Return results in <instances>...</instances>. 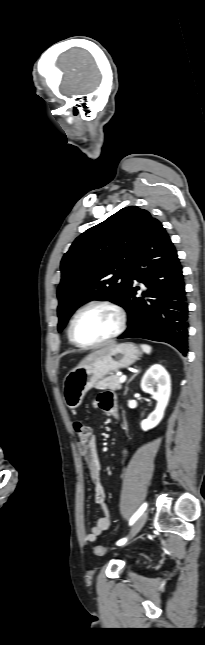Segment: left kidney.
Returning <instances> with one entry per match:
<instances>
[{
    "mask_svg": "<svg viewBox=\"0 0 205 645\" xmlns=\"http://www.w3.org/2000/svg\"><path fill=\"white\" fill-rule=\"evenodd\" d=\"M141 388L157 401L155 410L141 422L144 431L156 427L164 417L171 394L170 375L160 364L151 366L141 380Z\"/></svg>",
    "mask_w": 205,
    "mask_h": 645,
    "instance_id": "obj_1",
    "label": "left kidney"
}]
</instances>
